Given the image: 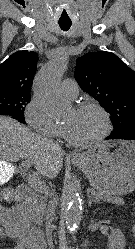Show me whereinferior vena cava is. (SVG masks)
<instances>
[{
    "label": "inferior vena cava",
    "instance_id": "602c4592",
    "mask_svg": "<svg viewBox=\"0 0 135 249\" xmlns=\"http://www.w3.org/2000/svg\"><path fill=\"white\" fill-rule=\"evenodd\" d=\"M54 210H55V199L49 202L48 205V210H47V215H46V235L48 238V243L51 249H53V242H52V237H51V232H52V216L54 214Z\"/></svg>",
    "mask_w": 135,
    "mask_h": 249
}]
</instances>
